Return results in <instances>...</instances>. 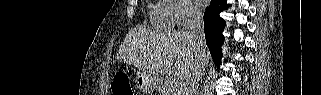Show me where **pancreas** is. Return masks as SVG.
Masks as SVG:
<instances>
[{
	"label": "pancreas",
	"instance_id": "1",
	"mask_svg": "<svg viewBox=\"0 0 321 95\" xmlns=\"http://www.w3.org/2000/svg\"><path fill=\"white\" fill-rule=\"evenodd\" d=\"M159 92L161 95H177L176 88L171 87L169 83L163 84L159 88Z\"/></svg>",
	"mask_w": 321,
	"mask_h": 95
}]
</instances>
